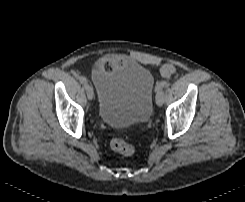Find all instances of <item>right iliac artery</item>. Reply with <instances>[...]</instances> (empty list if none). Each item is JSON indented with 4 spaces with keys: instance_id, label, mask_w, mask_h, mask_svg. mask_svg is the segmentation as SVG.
<instances>
[{
    "instance_id": "obj_1",
    "label": "right iliac artery",
    "mask_w": 245,
    "mask_h": 202,
    "mask_svg": "<svg viewBox=\"0 0 245 202\" xmlns=\"http://www.w3.org/2000/svg\"><path fill=\"white\" fill-rule=\"evenodd\" d=\"M80 82L83 83V84H87V79L85 77H80L79 78Z\"/></svg>"
}]
</instances>
